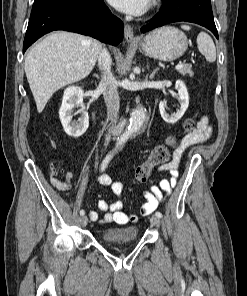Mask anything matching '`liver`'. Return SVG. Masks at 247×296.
I'll use <instances>...</instances> for the list:
<instances>
[{
	"label": "liver",
	"mask_w": 247,
	"mask_h": 296,
	"mask_svg": "<svg viewBox=\"0 0 247 296\" xmlns=\"http://www.w3.org/2000/svg\"><path fill=\"white\" fill-rule=\"evenodd\" d=\"M102 50L91 37L55 31L37 43L25 58V73L41 113L60 88L87 77Z\"/></svg>",
	"instance_id": "liver-1"
}]
</instances>
